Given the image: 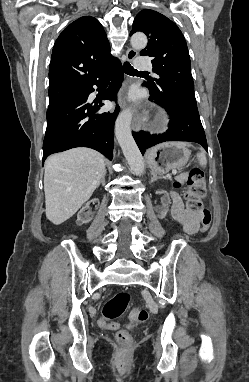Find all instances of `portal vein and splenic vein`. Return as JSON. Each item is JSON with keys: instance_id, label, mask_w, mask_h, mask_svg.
<instances>
[{"instance_id": "1", "label": "portal vein and splenic vein", "mask_w": 249, "mask_h": 382, "mask_svg": "<svg viewBox=\"0 0 249 382\" xmlns=\"http://www.w3.org/2000/svg\"><path fill=\"white\" fill-rule=\"evenodd\" d=\"M172 173H173L174 175H176V174H177V171H176V170H173Z\"/></svg>"}]
</instances>
